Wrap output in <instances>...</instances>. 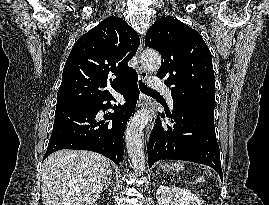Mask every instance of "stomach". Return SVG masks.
<instances>
[{"instance_id": "1", "label": "stomach", "mask_w": 269, "mask_h": 205, "mask_svg": "<svg viewBox=\"0 0 269 205\" xmlns=\"http://www.w3.org/2000/svg\"><path fill=\"white\" fill-rule=\"evenodd\" d=\"M161 168L164 169V171L167 172V173L171 172L172 170H176L177 172L183 170V166L180 163L175 164L173 166H169L168 164H165Z\"/></svg>"}]
</instances>
